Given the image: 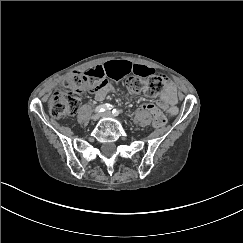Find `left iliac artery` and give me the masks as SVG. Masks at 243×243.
Segmentation results:
<instances>
[{"label": "left iliac artery", "mask_w": 243, "mask_h": 243, "mask_svg": "<svg viewBox=\"0 0 243 243\" xmlns=\"http://www.w3.org/2000/svg\"><path fill=\"white\" fill-rule=\"evenodd\" d=\"M112 113H113L114 116H118L121 113V110L113 109Z\"/></svg>", "instance_id": "left-iliac-artery-1"}]
</instances>
